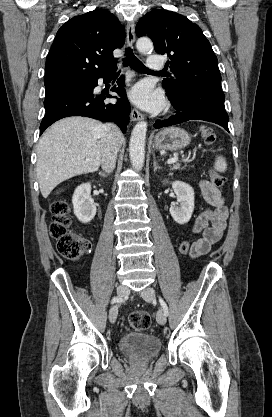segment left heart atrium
<instances>
[{"mask_svg": "<svg viewBox=\"0 0 272 417\" xmlns=\"http://www.w3.org/2000/svg\"><path fill=\"white\" fill-rule=\"evenodd\" d=\"M128 98L136 106L152 112L161 110L164 105L162 93L148 82H139L133 86Z\"/></svg>", "mask_w": 272, "mask_h": 417, "instance_id": "39dd6f15", "label": "left heart atrium"}]
</instances>
